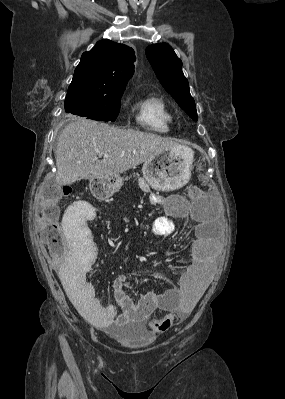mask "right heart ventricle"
Returning a JSON list of instances; mask_svg holds the SVG:
<instances>
[{
	"mask_svg": "<svg viewBox=\"0 0 285 399\" xmlns=\"http://www.w3.org/2000/svg\"><path fill=\"white\" fill-rule=\"evenodd\" d=\"M137 123L150 131L168 132L172 122V115L165 100L156 95L148 94L134 102Z\"/></svg>",
	"mask_w": 285,
	"mask_h": 399,
	"instance_id": "obj_1",
	"label": "right heart ventricle"
}]
</instances>
